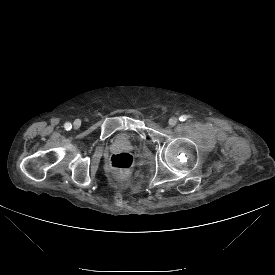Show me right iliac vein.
Segmentation results:
<instances>
[{"label": "right iliac vein", "instance_id": "63e3f726", "mask_svg": "<svg viewBox=\"0 0 275 275\" xmlns=\"http://www.w3.org/2000/svg\"><path fill=\"white\" fill-rule=\"evenodd\" d=\"M80 124H81V123H80L79 120H75V121H74V128H75V129H78V128L80 127Z\"/></svg>", "mask_w": 275, "mask_h": 275}]
</instances>
